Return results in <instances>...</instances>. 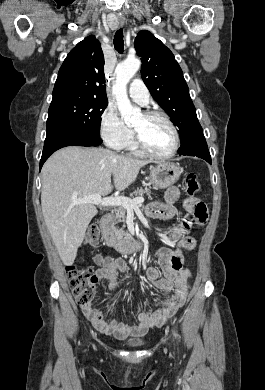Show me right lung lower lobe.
Returning <instances> with one entry per match:
<instances>
[{
  "label": "right lung lower lobe",
  "mask_w": 265,
  "mask_h": 390,
  "mask_svg": "<svg viewBox=\"0 0 265 390\" xmlns=\"http://www.w3.org/2000/svg\"><path fill=\"white\" fill-rule=\"evenodd\" d=\"M102 140L80 129L69 126H52L46 130V139L40 160V170L47 158L56 150L66 146H98Z\"/></svg>",
  "instance_id": "right-lung-lower-lobe-1"
}]
</instances>
